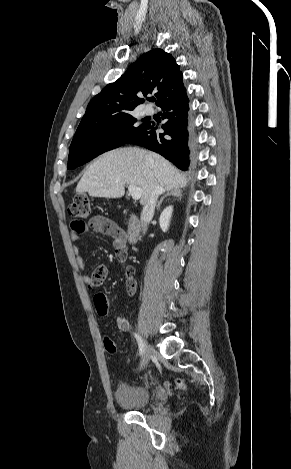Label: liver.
I'll list each match as a JSON object with an SVG mask.
<instances>
[{
  "label": "liver",
  "instance_id": "6515ba94",
  "mask_svg": "<svg viewBox=\"0 0 291 469\" xmlns=\"http://www.w3.org/2000/svg\"><path fill=\"white\" fill-rule=\"evenodd\" d=\"M127 184L141 188L140 203L145 205L155 184L164 192L185 187L187 179L159 154L126 147L106 152L95 160L78 182L76 191L87 192L91 197L121 198Z\"/></svg>",
  "mask_w": 291,
  "mask_h": 469
}]
</instances>
